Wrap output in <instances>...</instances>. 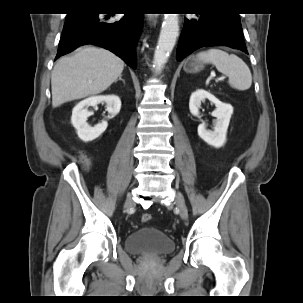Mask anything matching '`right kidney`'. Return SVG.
<instances>
[{
  "instance_id": "obj_1",
  "label": "right kidney",
  "mask_w": 303,
  "mask_h": 303,
  "mask_svg": "<svg viewBox=\"0 0 303 303\" xmlns=\"http://www.w3.org/2000/svg\"><path fill=\"white\" fill-rule=\"evenodd\" d=\"M100 103H105L110 115L115 116L121 109V100L116 95L94 96L79 102L72 110L71 123L76 129L78 137L84 142H90L98 138L108 126L107 121H102L91 127L86 121L92 112L88 107H95Z\"/></svg>"
}]
</instances>
